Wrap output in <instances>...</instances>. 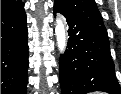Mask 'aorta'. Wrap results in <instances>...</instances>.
I'll return each instance as SVG.
<instances>
[{"label":"aorta","mask_w":121,"mask_h":94,"mask_svg":"<svg viewBox=\"0 0 121 94\" xmlns=\"http://www.w3.org/2000/svg\"><path fill=\"white\" fill-rule=\"evenodd\" d=\"M55 34L59 52L64 53L67 45V39L65 25L61 18H58L56 21Z\"/></svg>","instance_id":"762f6f07"}]
</instances>
